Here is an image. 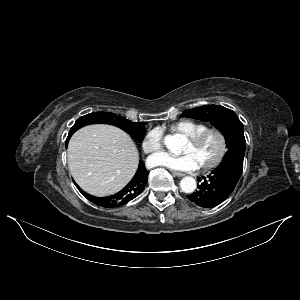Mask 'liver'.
Masks as SVG:
<instances>
[{
    "instance_id": "obj_1",
    "label": "liver",
    "mask_w": 300,
    "mask_h": 300,
    "mask_svg": "<svg viewBox=\"0 0 300 300\" xmlns=\"http://www.w3.org/2000/svg\"><path fill=\"white\" fill-rule=\"evenodd\" d=\"M139 162L136 145L111 125H88L73 134L68 166L76 183L94 196L120 191L134 176Z\"/></svg>"
}]
</instances>
